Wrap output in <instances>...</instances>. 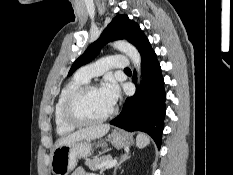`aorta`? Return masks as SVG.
Wrapping results in <instances>:
<instances>
[{
	"label": "aorta",
	"instance_id": "762f6f07",
	"mask_svg": "<svg viewBox=\"0 0 233 175\" xmlns=\"http://www.w3.org/2000/svg\"><path fill=\"white\" fill-rule=\"evenodd\" d=\"M112 46L126 54L132 61L134 67L136 68L138 75H140L141 68V56L138 50L127 41H116L112 44Z\"/></svg>",
	"mask_w": 233,
	"mask_h": 175
}]
</instances>
